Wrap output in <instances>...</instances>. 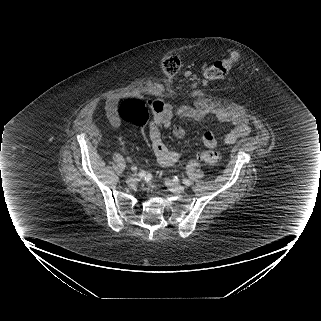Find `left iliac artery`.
I'll return each instance as SVG.
<instances>
[{"mask_svg":"<svg viewBox=\"0 0 321 321\" xmlns=\"http://www.w3.org/2000/svg\"><path fill=\"white\" fill-rule=\"evenodd\" d=\"M183 184L186 185V186H190L191 182L188 179H184L183 180Z\"/></svg>","mask_w":321,"mask_h":321,"instance_id":"44dca946","label":"left iliac artery"}]
</instances>
